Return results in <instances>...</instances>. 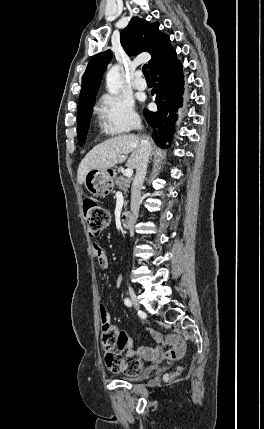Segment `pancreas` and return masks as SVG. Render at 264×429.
<instances>
[{
  "label": "pancreas",
  "mask_w": 264,
  "mask_h": 429,
  "mask_svg": "<svg viewBox=\"0 0 264 429\" xmlns=\"http://www.w3.org/2000/svg\"><path fill=\"white\" fill-rule=\"evenodd\" d=\"M115 183L117 188L123 191L125 194V197H127V191H128V188L130 187L131 179L125 178L124 176H119L116 178ZM126 205H127V201L124 202L125 207Z\"/></svg>",
  "instance_id": "pancreas-1"
}]
</instances>
